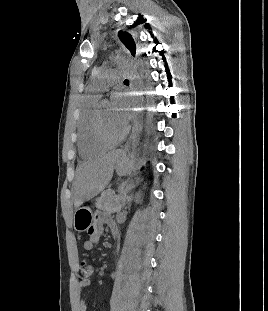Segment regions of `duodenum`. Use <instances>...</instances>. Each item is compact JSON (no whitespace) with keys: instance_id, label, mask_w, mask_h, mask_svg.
Masks as SVG:
<instances>
[{"instance_id":"1","label":"duodenum","mask_w":268,"mask_h":311,"mask_svg":"<svg viewBox=\"0 0 268 311\" xmlns=\"http://www.w3.org/2000/svg\"><path fill=\"white\" fill-rule=\"evenodd\" d=\"M113 235H114V237H117V233L116 232H113Z\"/></svg>"}]
</instances>
